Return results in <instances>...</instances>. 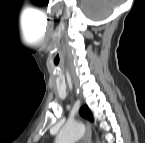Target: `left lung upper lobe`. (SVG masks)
Returning a JSON list of instances; mask_svg holds the SVG:
<instances>
[{"mask_svg":"<svg viewBox=\"0 0 145 143\" xmlns=\"http://www.w3.org/2000/svg\"><path fill=\"white\" fill-rule=\"evenodd\" d=\"M81 115H82L83 117H85V118H88V119H90V120H93L92 114H91V112H90V110L88 109L87 106H85V107H84V110L81 111Z\"/></svg>","mask_w":145,"mask_h":143,"instance_id":"5c2ea615","label":"left lung upper lobe"}]
</instances>
